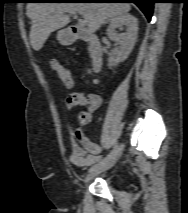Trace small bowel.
Here are the masks:
<instances>
[{
  "mask_svg": "<svg viewBox=\"0 0 188 213\" xmlns=\"http://www.w3.org/2000/svg\"><path fill=\"white\" fill-rule=\"evenodd\" d=\"M65 107L70 111H75L82 107L78 114L79 123L81 126H86L90 123L92 114L97 111L102 105V98L94 92L73 91L68 94L64 100ZM76 143L73 146L69 160L72 164L78 167L90 166L101 159L102 147L91 141L83 132L82 129H77L74 132Z\"/></svg>",
  "mask_w": 188,
  "mask_h": 213,
  "instance_id": "c3829d8e",
  "label": "small bowel"
}]
</instances>
